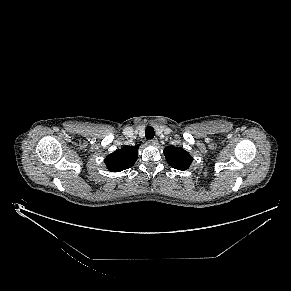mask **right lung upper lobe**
Wrapping results in <instances>:
<instances>
[{
    "mask_svg": "<svg viewBox=\"0 0 291 291\" xmlns=\"http://www.w3.org/2000/svg\"><path fill=\"white\" fill-rule=\"evenodd\" d=\"M138 156L137 146H124L119 150L109 154L104 162L107 168L113 172H120L122 170L132 167Z\"/></svg>",
    "mask_w": 291,
    "mask_h": 291,
    "instance_id": "obj_1",
    "label": "right lung upper lobe"
}]
</instances>
